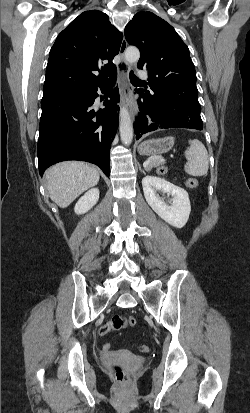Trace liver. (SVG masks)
I'll return each mask as SVG.
<instances>
[{
	"label": "liver",
	"mask_w": 250,
	"mask_h": 413,
	"mask_svg": "<svg viewBox=\"0 0 250 413\" xmlns=\"http://www.w3.org/2000/svg\"><path fill=\"white\" fill-rule=\"evenodd\" d=\"M45 177L50 198L59 207H68L78 196L99 182L98 170L84 162L67 161L50 167Z\"/></svg>",
	"instance_id": "obj_1"
}]
</instances>
